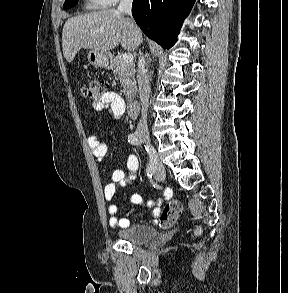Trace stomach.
Here are the masks:
<instances>
[{"mask_svg": "<svg viewBox=\"0 0 288 293\" xmlns=\"http://www.w3.org/2000/svg\"><path fill=\"white\" fill-rule=\"evenodd\" d=\"M87 58L89 63L95 67L105 69H110L112 67V56L109 53L90 50Z\"/></svg>", "mask_w": 288, "mask_h": 293, "instance_id": "0dacf381", "label": "stomach"}]
</instances>
